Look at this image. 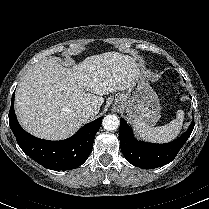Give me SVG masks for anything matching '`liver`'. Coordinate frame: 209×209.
I'll return each mask as SVG.
<instances>
[{"label": "liver", "instance_id": "obj_1", "mask_svg": "<svg viewBox=\"0 0 209 209\" xmlns=\"http://www.w3.org/2000/svg\"><path fill=\"white\" fill-rule=\"evenodd\" d=\"M140 75L128 55L105 52L87 57L72 68L52 57L30 67L15 94V112L30 134L47 140L72 136L98 114L103 95L124 91ZM97 113L88 116L87 106Z\"/></svg>", "mask_w": 209, "mask_h": 209}]
</instances>
